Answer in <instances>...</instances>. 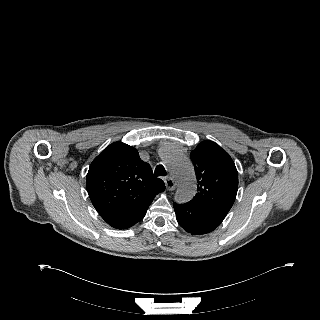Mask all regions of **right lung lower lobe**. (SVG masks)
Listing matches in <instances>:
<instances>
[{"label": "right lung lower lobe", "instance_id": "right-lung-lower-lobe-1", "mask_svg": "<svg viewBox=\"0 0 320 320\" xmlns=\"http://www.w3.org/2000/svg\"><path fill=\"white\" fill-rule=\"evenodd\" d=\"M144 216H145V213L132 217L127 220L113 222L110 225L116 229H127L133 226L134 224H136L137 222H139L140 220H142Z\"/></svg>", "mask_w": 320, "mask_h": 320}]
</instances>
